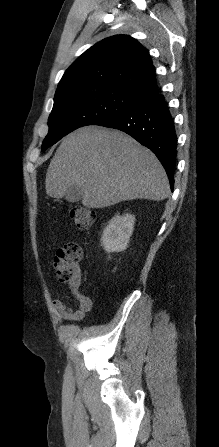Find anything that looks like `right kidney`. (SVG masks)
Masks as SVG:
<instances>
[{"mask_svg":"<svg viewBox=\"0 0 219 447\" xmlns=\"http://www.w3.org/2000/svg\"><path fill=\"white\" fill-rule=\"evenodd\" d=\"M135 224V216L125 214L113 217L102 234V245L107 252H121L127 248Z\"/></svg>","mask_w":219,"mask_h":447,"instance_id":"obj_1","label":"right kidney"}]
</instances>
